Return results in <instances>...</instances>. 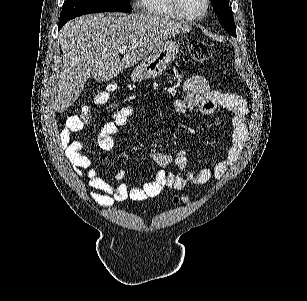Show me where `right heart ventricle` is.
<instances>
[{"label": "right heart ventricle", "mask_w": 307, "mask_h": 301, "mask_svg": "<svg viewBox=\"0 0 307 301\" xmlns=\"http://www.w3.org/2000/svg\"><path fill=\"white\" fill-rule=\"evenodd\" d=\"M140 4H146L144 11L150 13L151 17H175L171 0H140Z\"/></svg>", "instance_id": "obj_1"}]
</instances>
